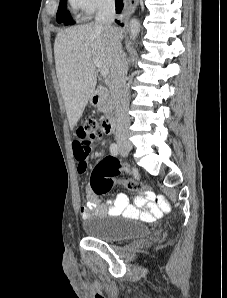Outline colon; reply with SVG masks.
Returning a JSON list of instances; mask_svg holds the SVG:
<instances>
[{
	"instance_id": "1",
	"label": "colon",
	"mask_w": 227,
	"mask_h": 298,
	"mask_svg": "<svg viewBox=\"0 0 227 298\" xmlns=\"http://www.w3.org/2000/svg\"><path fill=\"white\" fill-rule=\"evenodd\" d=\"M102 135V130L95 120H88L76 130V138L81 142H93ZM74 152V151H73ZM83 159V158H79ZM121 165L116 158L107 157L101 160L93 169L90 179L91 190L97 195H105L111 191L116 183V177L121 172ZM122 184L131 191H146L150 189L149 185L133 181L124 180ZM155 203L163 209L166 205L162 197H156Z\"/></svg>"
}]
</instances>
